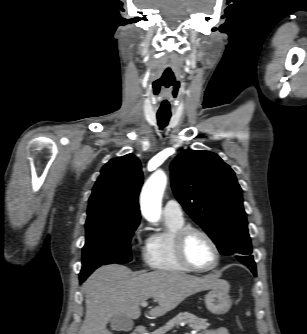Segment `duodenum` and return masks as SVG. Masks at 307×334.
Masks as SVG:
<instances>
[{"instance_id": "obj_1", "label": "duodenum", "mask_w": 307, "mask_h": 334, "mask_svg": "<svg viewBox=\"0 0 307 334\" xmlns=\"http://www.w3.org/2000/svg\"><path fill=\"white\" fill-rule=\"evenodd\" d=\"M132 334H148L146 327H137Z\"/></svg>"}]
</instances>
